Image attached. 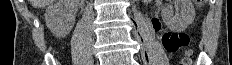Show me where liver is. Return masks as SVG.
I'll use <instances>...</instances> for the list:
<instances>
[{
  "instance_id": "6515ba94",
  "label": "liver",
  "mask_w": 232,
  "mask_h": 65,
  "mask_svg": "<svg viewBox=\"0 0 232 65\" xmlns=\"http://www.w3.org/2000/svg\"><path fill=\"white\" fill-rule=\"evenodd\" d=\"M31 5L35 8H43L48 5H51L56 0H29Z\"/></svg>"
}]
</instances>
